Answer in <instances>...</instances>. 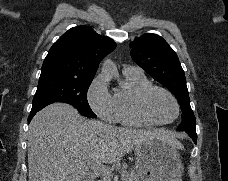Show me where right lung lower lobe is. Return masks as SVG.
Wrapping results in <instances>:
<instances>
[{
  "instance_id": "98d812e1",
  "label": "right lung lower lobe",
  "mask_w": 228,
  "mask_h": 181,
  "mask_svg": "<svg viewBox=\"0 0 228 181\" xmlns=\"http://www.w3.org/2000/svg\"><path fill=\"white\" fill-rule=\"evenodd\" d=\"M38 112V110H31V114L28 117V122L33 118V116Z\"/></svg>"
}]
</instances>
